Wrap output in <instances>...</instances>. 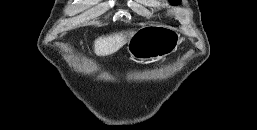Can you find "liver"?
Instances as JSON below:
<instances>
[{
    "label": "liver",
    "mask_w": 257,
    "mask_h": 130,
    "mask_svg": "<svg viewBox=\"0 0 257 130\" xmlns=\"http://www.w3.org/2000/svg\"><path fill=\"white\" fill-rule=\"evenodd\" d=\"M132 34V31L120 32L98 38L94 43L96 55L105 56L113 53L120 48L127 41V37H130Z\"/></svg>",
    "instance_id": "1"
}]
</instances>
